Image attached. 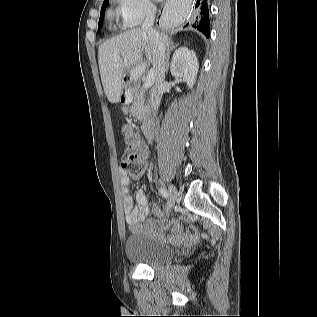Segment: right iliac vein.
<instances>
[{
    "label": "right iliac vein",
    "mask_w": 317,
    "mask_h": 317,
    "mask_svg": "<svg viewBox=\"0 0 317 317\" xmlns=\"http://www.w3.org/2000/svg\"><path fill=\"white\" fill-rule=\"evenodd\" d=\"M176 200H177V190L173 185H170L169 186V201H168L167 213H169L171 211Z\"/></svg>",
    "instance_id": "63e3f726"
}]
</instances>
